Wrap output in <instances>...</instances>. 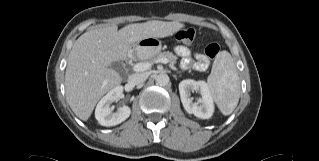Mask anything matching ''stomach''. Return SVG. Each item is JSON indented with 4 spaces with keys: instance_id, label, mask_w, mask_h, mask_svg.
<instances>
[{
    "instance_id": "stomach-1",
    "label": "stomach",
    "mask_w": 319,
    "mask_h": 161,
    "mask_svg": "<svg viewBox=\"0 0 319 161\" xmlns=\"http://www.w3.org/2000/svg\"><path fill=\"white\" fill-rule=\"evenodd\" d=\"M136 55L140 59H151L161 50V41L155 37L140 40L135 45Z\"/></svg>"
}]
</instances>
